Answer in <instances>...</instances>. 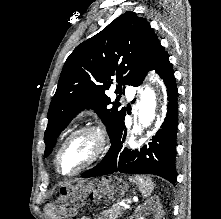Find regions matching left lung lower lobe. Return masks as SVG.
<instances>
[{
  "instance_id": "1",
  "label": "left lung lower lobe",
  "mask_w": 221,
  "mask_h": 219,
  "mask_svg": "<svg viewBox=\"0 0 221 219\" xmlns=\"http://www.w3.org/2000/svg\"><path fill=\"white\" fill-rule=\"evenodd\" d=\"M155 70L167 88V114L160 130L152 137L148 146L138 150L123 147L126 136L124 117L111 139V147L103 160L82 175L83 178L97 177L115 172L129 174H153L176 183L175 149L178 119L177 86L169 58L160 45L154 53L148 70ZM147 73V72H146ZM145 78V77H144Z\"/></svg>"
}]
</instances>
